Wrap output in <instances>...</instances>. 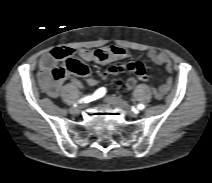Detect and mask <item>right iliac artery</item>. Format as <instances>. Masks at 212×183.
Segmentation results:
<instances>
[{
  "label": "right iliac artery",
  "instance_id": "right-iliac-artery-1",
  "mask_svg": "<svg viewBox=\"0 0 212 183\" xmlns=\"http://www.w3.org/2000/svg\"><path fill=\"white\" fill-rule=\"evenodd\" d=\"M105 93H106V89L104 87L99 88L98 90L95 91V93L93 95L86 96V97L80 99L79 103H82V102L88 103L93 100L99 99V98L103 97L105 95ZM74 106H76V104Z\"/></svg>",
  "mask_w": 212,
  "mask_h": 183
}]
</instances>
